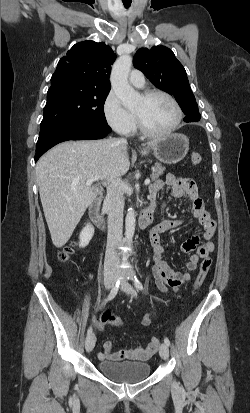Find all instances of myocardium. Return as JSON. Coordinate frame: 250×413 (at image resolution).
Wrapping results in <instances>:
<instances>
[{
    "instance_id": "obj_1",
    "label": "myocardium",
    "mask_w": 250,
    "mask_h": 413,
    "mask_svg": "<svg viewBox=\"0 0 250 413\" xmlns=\"http://www.w3.org/2000/svg\"><path fill=\"white\" fill-rule=\"evenodd\" d=\"M157 95L167 98L173 104L176 110V120L174 124L171 126V128H169L168 130L164 132H153L147 128L141 115L135 112V118H136L139 131L141 132L143 136L147 138H153V139L164 138V137H167L173 134L179 128L182 122V118H183V112H182V108L180 104L170 93L160 90V89H151L143 93V98L150 99Z\"/></svg>"
}]
</instances>
